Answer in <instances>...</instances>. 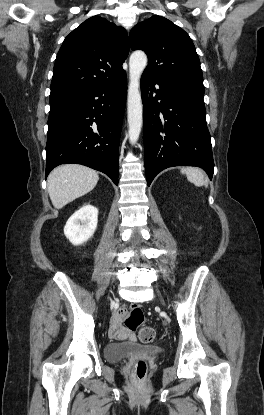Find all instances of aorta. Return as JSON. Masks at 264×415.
Returning a JSON list of instances; mask_svg holds the SVG:
<instances>
[{"label": "aorta", "instance_id": "762f6f07", "mask_svg": "<svg viewBox=\"0 0 264 415\" xmlns=\"http://www.w3.org/2000/svg\"><path fill=\"white\" fill-rule=\"evenodd\" d=\"M147 65V56L143 51H134L129 59L130 82L127 97L128 136L130 143L139 139L142 128V100L140 78Z\"/></svg>", "mask_w": 264, "mask_h": 415}]
</instances>
